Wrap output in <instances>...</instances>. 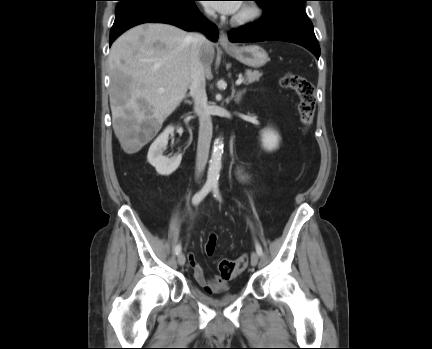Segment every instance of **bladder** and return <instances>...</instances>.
Instances as JSON below:
<instances>
[{
  "mask_svg": "<svg viewBox=\"0 0 432 349\" xmlns=\"http://www.w3.org/2000/svg\"><path fill=\"white\" fill-rule=\"evenodd\" d=\"M195 294L201 301H203L209 305H214V306L223 305L226 302L231 301V300L236 298L235 294L228 292V291H224L220 295L214 296V295L209 294L203 290L196 289Z\"/></svg>",
  "mask_w": 432,
  "mask_h": 349,
  "instance_id": "obj_1",
  "label": "bladder"
}]
</instances>
